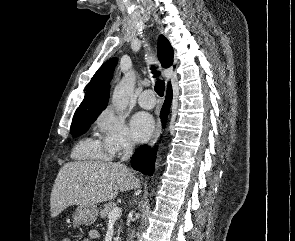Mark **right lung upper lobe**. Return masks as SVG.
Listing matches in <instances>:
<instances>
[{
    "instance_id": "1",
    "label": "right lung upper lobe",
    "mask_w": 295,
    "mask_h": 241,
    "mask_svg": "<svg viewBox=\"0 0 295 241\" xmlns=\"http://www.w3.org/2000/svg\"><path fill=\"white\" fill-rule=\"evenodd\" d=\"M173 48L163 35L158 40V58L162 67L168 68L173 64ZM117 58L106 61L94 74L87 86L85 97L77 108L78 111H91L106 107L109 97V82L112 79Z\"/></svg>"
}]
</instances>
